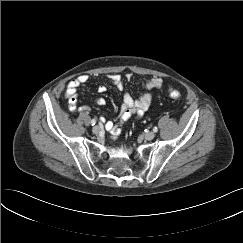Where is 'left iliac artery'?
I'll use <instances>...</instances> for the list:
<instances>
[{"instance_id":"44dca946","label":"left iliac artery","mask_w":243,"mask_h":243,"mask_svg":"<svg viewBox=\"0 0 243 243\" xmlns=\"http://www.w3.org/2000/svg\"><path fill=\"white\" fill-rule=\"evenodd\" d=\"M153 131H154V132H157V131H158V128H157V127H154V128H153Z\"/></svg>"}]
</instances>
